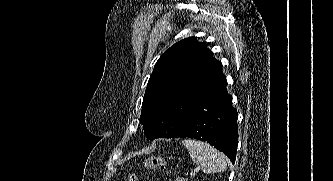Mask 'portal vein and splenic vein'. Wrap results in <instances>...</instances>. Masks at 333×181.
Here are the masks:
<instances>
[{
  "instance_id": "portal-vein-and-splenic-vein-1",
  "label": "portal vein and splenic vein",
  "mask_w": 333,
  "mask_h": 181,
  "mask_svg": "<svg viewBox=\"0 0 333 181\" xmlns=\"http://www.w3.org/2000/svg\"><path fill=\"white\" fill-rule=\"evenodd\" d=\"M198 170L199 168H196L193 172L190 173V176H194Z\"/></svg>"
}]
</instances>
